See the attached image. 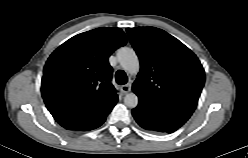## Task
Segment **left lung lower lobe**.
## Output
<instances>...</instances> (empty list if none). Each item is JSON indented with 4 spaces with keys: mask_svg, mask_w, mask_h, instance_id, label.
Masks as SVG:
<instances>
[{
    "mask_svg": "<svg viewBox=\"0 0 248 158\" xmlns=\"http://www.w3.org/2000/svg\"><path fill=\"white\" fill-rule=\"evenodd\" d=\"M132 114L136 122L144 129L154 130L160 132H166L163 127L155 120L145 116L143 113L139 112L135 108L132 110Z\"/></svg>",
    "mask_w": 248,
    "mask_h": 158,
    "instance_id": "0a47b994",
    "label": "left lung lower lobe"
}]
</instances>
